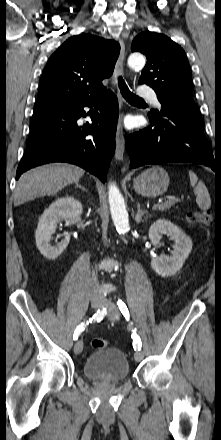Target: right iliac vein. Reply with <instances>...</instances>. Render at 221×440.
<instances>
[{"label":"right iliac vein","instance_id":"obj_1","mask_svg":"<svg viewBox=\"0 0 221 440\" xmlns=\"http://www.w3.org/2000/svg\"><path fill=\"white\" fill-rule=\"evenodd\" d=\"M91 305L94 309H99L102 307V302L98 301L96 299H92ZM82 350H83V342H82V340H78L74 345V353L80 354L82 352Z\"/></svg>","mask_w":221,"mask_h":440}]
</instances>
